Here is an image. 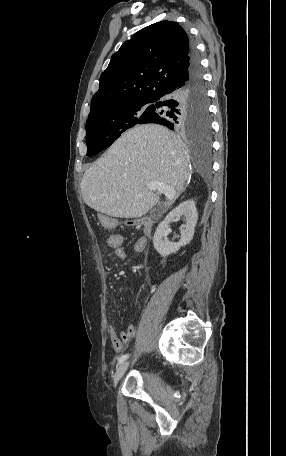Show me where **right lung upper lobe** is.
<instances>
[{"label": "right lung upper lobe", "mask_w": 286, "mask_h": 456, "mask_svg": "<svg viewBox=\"0 0 286 456\" xmlns=\"http://www.w3.org/2000/svg\"><path fill=\"white\" fill-rule=\"evenodd\" d=\"M192 44L176 22L161 21L138 31L111 57L92 97L89 117L120 102L152 100L187 75Z\"/></svg>", "instance_id": "obj_1"}]
</instances>
